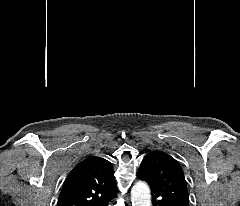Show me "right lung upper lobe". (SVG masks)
I'll use <instances>...</instances> for the list:
<instances>
[{
	"mask_svg": "<svg viewBox=\"0 0 240 206\" xmlns=\"http://www.w3.org/2000/svg\"><path fill=\"white\" fill-rule=\"evenodd\" d=\"M116 193L112 164L101 157H89L69 173L58 206H97Z\"/></svg>",
	"mask_w": 240,
	"mask_h": 206,
	"instance_id": "cb5924a9",
	"label": "right lung upper lobe"
}]
</instances>
